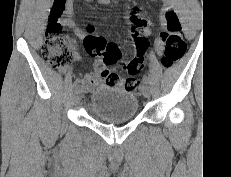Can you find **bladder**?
<instances>
[{
    "label": "bladder",
    "instance_id": "31cf9c89",
    "mask_svg": "<svg viewBox=\"0 0 231 177\" xmlns=\"http://www.w3.org/2000/svg\"><path fill=\"white\" fill-rule=\"evenodd\" d=\"M138 106V99L133 92L111 85L98 87L93 92L90 102L92 113L107 122L127 121L135 118Z\"/></svg>",
    "mask_w": 231,
    "mask_h": 177
}]
</instances>
